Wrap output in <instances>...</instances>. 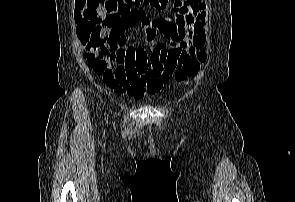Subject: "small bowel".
<instances>
[{
    "label": "small bowel",
    "instance_id": "small-bowel-1",
    "mask_svg": "<svg viewBox=\"0 0 295 202\" xmlns=\"http://www.w3.org/2000/svg\"><path fill=\"white\" fill-rule=\"evenodd\" d=\"M75 6L80 18L90 23L106 18L101 0H75ZM152 7L164 14L150 20L142 8H134L130 15L114 19L106 30L111 33L108 47L87 48V62L95 73L114 91L135 98L158 92L170 77L167 66L176 65L182 54L188 57L205 39L203 0H172ZM136 25L144 32L143 46L129 37Z\"/></svg>",
    "mask_w": 295,
    "mask_h": 202
}]
</instances>
